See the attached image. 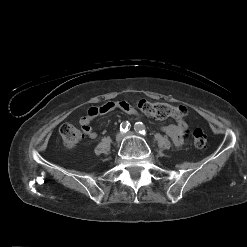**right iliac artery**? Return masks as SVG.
<instances>
[{
	"instance_id": "right-iliac-artery-1",
	"label": "right iliac artery",
	"mask_w": 247,
	"mask_h": 247,
	"mask_svg": "<svg viewBox=\"0 0 247 247\" xmlns=\"http://www.w3.org/2000/svg\"><path fill=\"white\" fill-rule=\"evenodd\" d=\"M129 122L128 121H125V122H122L121 124H120V131L121 132H127L129 129H130V127H129Z\"/></svg>"
}]
</instances>
